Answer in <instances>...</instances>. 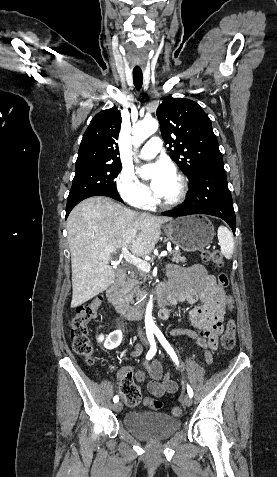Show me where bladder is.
Returning a JSON list of instances; mask_svg holds the SVG:
<instances>
[{"label":"bladder","mask_w":277,"mask_h":477,"mask_svg":"<svg viewBox=\"0 0 277 477\" xmlns=\"http://www.w3.org/2000/svg\"><path fill=\"white\" fill-rule=\"evenodd\" d=\"M124 426L138 438L164 440L177 432L181 421L161 412L132 411L123 418Z\"/></svg>","instance_id":"31cf9c89"}]
</instances>
